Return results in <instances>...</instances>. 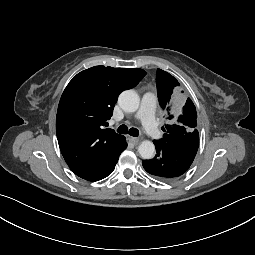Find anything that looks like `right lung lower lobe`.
I'll use <instances>...</instances> for the list:
<instances>
[{"label":"right lung lower lobe","instance_id":"right-lung-lower-lobe-1","mask_svg":"<svg viewBox=\"0 0 255 255\" xmlns=\"http://www.w3.org/2000/svg\"><path fill=\"white\" fill-rule=\"evenodd\" d=\"M126 147L127 143L118 153L108 158L106 161L99 163L94 169H92L88 173L78 176L92 182L104 179L113 172L121 152L124 151Z\"/></svg>","mask_w":255,"mask_h":255}]
</instances>
